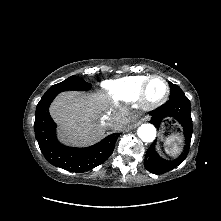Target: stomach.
Wrapping results in <instances>:
<instances>
[{
  "mask_svg": "<svg viewBox=\"0 0 221 221\" xmlns=\"http://www.w3.org/2000/svg\"><path fill=\"white\" fill-rule=\"evenodd\" d=\"M177 128L178 126L175 123L167 125V127H165L162 131L161 139L166 143L169 137L176 135Z\"/></svg>",
  "mask_w": 221,
  "mask_h": 221,
  "instance_id": "stomach-1",
  "label": "stomach"
}]
</instances>
